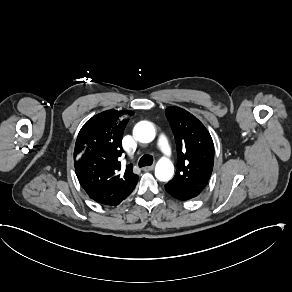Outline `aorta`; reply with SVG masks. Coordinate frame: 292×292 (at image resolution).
I'll return each mask as SVG.
<instances>
[{
	"instance_id": "1",
	"label": "aorta",
	"mask_w": 292,
	"mask_h": 292,
	"mask_svg": "<svg viewBox=\"0 0 292 292\" xmlns=\"http://www.w3.org/2000/svg\"><path fill=\"white\" fill-rule=\"evenodd\" d=\"M134 135L142 143L154 141L156 132L151 123L147 121L139 122L134 128ZM174 174V164L168 156L161 157L155 166V175L161 181H167Z\"/></svg>"
}]
</instances>
